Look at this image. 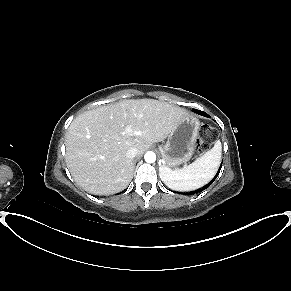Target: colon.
<instances>
[{"instance_id": "1", "label": "colon", "mask_w": 291, "mask_h": 291, "mask_svg": "<svg viewBox=\"0 0 291 291\" xmlns=\"http://www.w3.org/2000/svg\"><path fill=\"white\" fill-rule=\"evenodd\" d=\"M214 140V132L211 127L203 126L197 140V152L206 151Z\"/></svg>"}]
</instances>
